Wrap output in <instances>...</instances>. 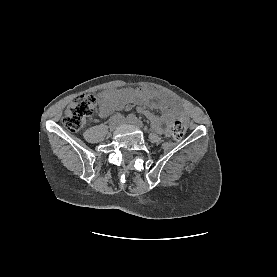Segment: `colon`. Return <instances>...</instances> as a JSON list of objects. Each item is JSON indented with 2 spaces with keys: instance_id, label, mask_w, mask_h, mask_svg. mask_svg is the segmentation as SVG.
Returning <instances> with one entry per match:
<instances>
[{
  "instance_id": "5ec220e1",
  "label": "colon",
  "mask_w": 277,
  "mask_h": 277,
  "mask_svg": "<svg viewBox=\"0 0 277 277\" xmlns=\"http://www.w3.org/2000/svg\"><path fill=\"white\" fill-rule=\"evenodd\" d=\"M96 110V101L92 96H77L68 105L63 117V124L71 131L80 130L95 115ZM186 131L187 124L184 120L179 119L174 122L172 127V135L174 139H182L185 136Z\"/></svg>"
}]
</instances>
